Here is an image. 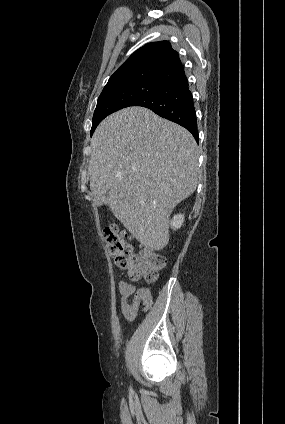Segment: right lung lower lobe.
I'll use <instances>...</instances> for the list:
<instances>
[{
  "instance_id": "right-lung-lower-lobe-1",
  "label": "right lung lower lobe",
  "mask_w": 285,
  "mask_h": 424,
  "mask_svg": "<svg viewBox=\"0 0 285 424\" xmlns=\"http://www.w3.org/2000/svg\"><path fill=\"white\" fill-rule=\"evenodd\" d=\"M130 106L146 107L159 116L183 126L198 142L193 96L185 73L164 83L159 89L134 101Z\"/></svg>"
}]
</instances>
